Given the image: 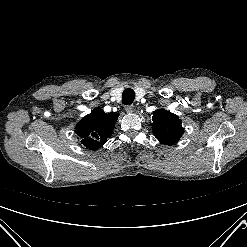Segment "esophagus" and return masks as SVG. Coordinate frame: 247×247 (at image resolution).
Instances as JSON below:
<instances>
[{
  "label": "esophagus",
  "instance_id": "obj_1",
  "mask_svg": "<svg viewBox=\"0 0 247 247\" xmlns=\"http://www.w3.org/2000/svg\"><path fill=\"white\" fill-rule=\"evenodd\" d=\"M133 110H134V106L133 105H127V106H125V111L127 113H131V112H133Z\"/></svg>",
  "mask_w": 247,
  "mask_h": 247
}]
</instances>
